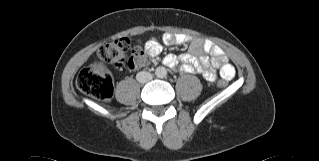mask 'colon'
Returning <instances> with one entry per match:
<instances>
[{
	"instance_id": "obj_1",
	"label": "colon",
	"mask_w": 319,
	"mask_h": 161,
	"mask_svg": "<svg viewBox=\"0 0 319 161\" xmlns=\"http://www.w3.org/2000/svg\"><path fill=\"white\" fill-rule=\"evenodd\" d=\"M99 56L117 68L136 70L147 63L145 50L137 48L131 51L128 38L115 39L99 49ZM219 86H224L225 81L219 80ZM77 87L85 95L93 98L107 100L113 96V78L106 66L102 63H93L81 70L77 77Z\"/></svg>"
}]
</instances>
